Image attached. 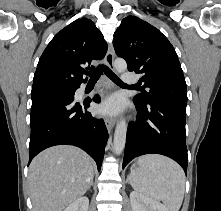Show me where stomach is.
<instances>
[{
    "mask_svg": "<svg viewBox=\"0 0 221 211\" xmlns=\"http://www.w3.org/2000/svg\"><path fill=\"white\" fill-rule=\"evenodd\" d=\"M133 167H134V168H137V165H136V164H134V165H133Z\"/></svg>",
    "mask_w": 221,
    "mask_h": 211,
    "instance_id": "obj_1",
    "label": "stomach"
}]
</instances>
